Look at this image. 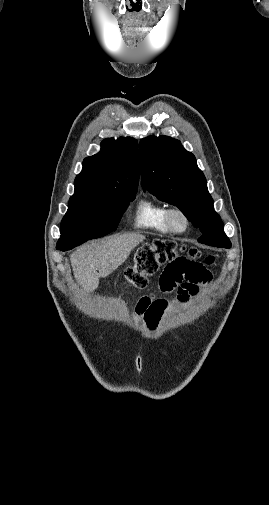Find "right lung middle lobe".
<instances>
[{
	"mask_svg": "<svg viewBox=\"0 0 269 505\" xmlns=\"http://www.w3.org/2000/svg\"><path fill=\"white\" fill-rule=\"evenodd\" d=\"M135 194H74L61 222L56 249L70 250L115 231Z\"/></svg>",
	"mask_w": 269,
	"mask_h": 505,
	"instance_id": "right-lung-middle-lobe-1",
	"label": "right lung middle lobe"
}]
</instances>
